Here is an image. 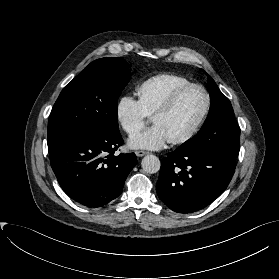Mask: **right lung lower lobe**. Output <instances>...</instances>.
Returning <instances> with one entry per match:
<instances>
[{
  "label": "right lung lower lobe",
  "mask_w": 279,
  "mask_h": 279,
  "mask_svg": "<svg viewBox=\"0 0 279 279\" xmlns=\"http://www.w3.org/2000/svg\"><path fill=\"white\" fill-rule=\"evenodd\" d=\"M122 144L118 130L73 138L49 148L51 167L64 192L91 208L116 199L137 163L134 153L114 155Z\"/></svg>",
  "instance_id": "98d812e1"
}]
</instances>
